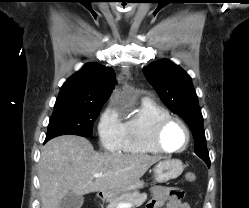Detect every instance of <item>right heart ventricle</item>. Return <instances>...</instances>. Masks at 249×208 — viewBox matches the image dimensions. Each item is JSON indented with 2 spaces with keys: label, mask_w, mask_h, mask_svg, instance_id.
I'll use <instances>...</instances> for the list:
<instances>
[{
  "label": "right heart ventricle",
  "mask_w": 249,
  "mask_h": 208,
  "mask_svg": "<svg viewBox=\"0 0 249 208\" xmlns=\"http://www.w3.org/2000/svg\"><path fill=\"white\" fill-rule=\"evenodd\" d=\"M170 112L149 100L142 99L135 112L123 123L121 151L131 155L159 153L151 142L156 123Z\"/></svg>",
  "instance_id": "1"
}]
</instances>
